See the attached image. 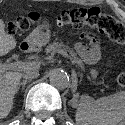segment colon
Listing matches in <instances>:
<instances>
[{"instance_id": "1", "label": "colon", "mask_w": 125, "mask_h": 125, "mask_svg": "<svg viewBox=\"0 0 125 125\" xmlns=\"http://www.w3.org/2000/svg\"><path fill=\"white\" fill-rule=\"evenodd\" d=\"M54 18L59 26L66 25L76 29L82 27L95 28L107 34L116 43L125 46V25L100 8L67 9ZM32 23L33 21L30 18L19 16L7 22L6 29L11 34H17L28 31L32 27ZM88 37L92 38V36ZM117 82L120 86L125 87V69L118 74Z\"/></svg>"}]
</instances>
